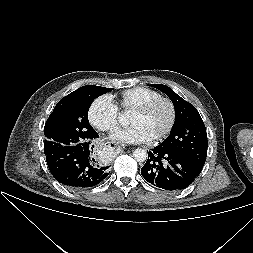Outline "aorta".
Returning <instances> with one entry per match:
<instances>
[{
  "label": "aorta",
  "mask_w": 253,
  "mask_h": 253,
  "mask_svg": "<svg viewBox=\"0 0 253 253\" xmlns=\"http://www.w3.org/2000/svg\"><path fill=\"white\" fill-rule=\"evenodd\" d=\"M120 121L123 122V119L120 118ZM133 157L137 162H144L147 157V151L142 148H137L133 151Z\"/></svg>",
  "instance_id": "aorta-1"
}]
</instances>
